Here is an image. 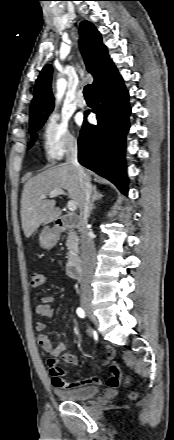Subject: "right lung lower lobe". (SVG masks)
<instances>
[{
  "label": "right lung lower lobe",
  "instance_id": "right-lung-lower-lobe-1",
  "mask_svg": "<svg viewBox=\"0 0 174 440\" xmlns=\"http://www.w3.org/2000/svg\"><path fill=\"white\" fill-rule=\"evenodd\" d=\"M97 125L86 120L78 140L80 164L110 180L127 195L125 140L129 130V94L114 65L94 89Z\"/></svg>",
  "mask_w": 174,
  "mask_h": 440
}]
</instances>
